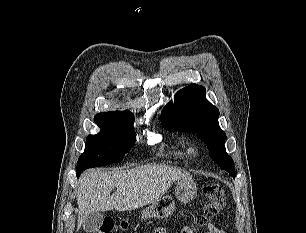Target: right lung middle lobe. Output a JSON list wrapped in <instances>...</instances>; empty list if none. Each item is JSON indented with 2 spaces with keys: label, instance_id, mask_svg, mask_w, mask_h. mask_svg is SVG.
I'll use <instances>...</instances> for the list:
<instances>
[{
  "label": "right lung middle lobe",
  "instance_id": "obj_1",
  "mask_svg": "<svg viewBox=\"0 0 306 233\" xmlns=\"http://www.w3.org/2000/svg\"><path fill=\"white\" fill-rule=\"evenodd\" d=\"M95 123L101 132L89 135L77 162V177L90 167L119 162L135 143L134 117L97 114Z\"/></svg>",
  "mask_w": 306,
  "mask_h": 233
}]
</instances>
